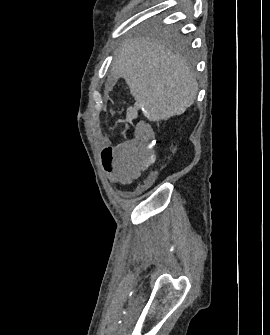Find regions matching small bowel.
Listing matches in <instances>:
<instances>
[{
	"mask_svg": "<svg viewBox=\"0 0 270 335\" xmlns=\"http://www.w3.org/2000/svg\"><path fill=\"white\" fill-rule=\"evenodd\" d=\"M125 134H137L127 139V144H97L95 161H103V173H111L114 178H136L139 169H146L152 160L148 156H159V149H153L155 138L151 127L144 121H127ZM114 173V174H112Z\"/></svg>",
	"mask_w": 270,
	"mask_h": 335,
	"instance_id": "1",
	"label": "small bowel"
}]
</instances>
